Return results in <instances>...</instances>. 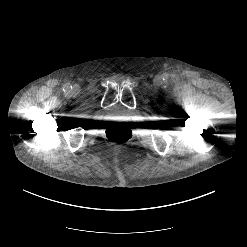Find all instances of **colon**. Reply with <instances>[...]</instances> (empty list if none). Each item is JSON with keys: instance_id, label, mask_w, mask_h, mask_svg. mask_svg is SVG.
Returning <instances> with one entry per match:
<instances>
[{"instance_id": "5ec220e1", "label": "colon", "mask_w": 247, "mask_h": 247, "mask_svg": "<svg viewBox=\"0 0 247 247\" xmlns=\"http://www.w3.org/2000/svg\"><path fill=\"white\" fill-rule=\"evenodd\" d=\"M109 141L117 144L125 143L131 138V131L127 127L111 129L107 133Z\"/></svg>"}]
</instances>
